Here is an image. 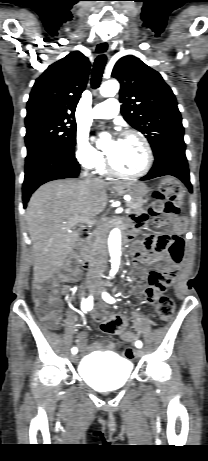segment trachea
<instances>
[{
  "label": "trachea",
  "mask_w": 208,
  "mask_h": 461,
  "mask_svg": "<svg viewBox=\"0 0 208 461\" xmlns=\"http://www.w3.org/2000/svg\"><path fill=\"white\" fill-rule=\"evenodd\" d=\"M105 64H106V56L99 55L94 62V66L92 70L91 87L93 89L98 88L100 85Z\"/></svg>",
  "instance_id": "3493384b"
}]
</instances>
